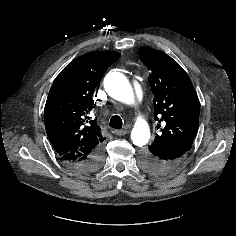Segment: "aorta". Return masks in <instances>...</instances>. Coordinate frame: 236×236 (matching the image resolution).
<instances>
[{"mask_svg":"<svg viewBox=\"0 0 236 236\" xmlns=\"http://www.w3.org/2000/svg\"><path fill=\"white\" fill-rule=\"evenodd\" d=\"M104 88L109 96L117 101L132 104L134 102L133 89L130 82L120 72H110L104 78ZM134 145L142 147L150 140V128L147 122L138 118L131 132Z\"/></svg>","mask_w":236,"mask_h":236,"instance_id":"obj_1","label":"aorta"}]
</instances>
